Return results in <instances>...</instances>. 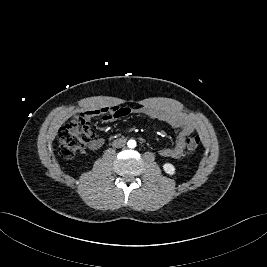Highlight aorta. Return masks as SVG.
<instances>
[{"instance_id": "aorta-1", "label": "aorta", "mask_w": 267, "mask_h": 267, "mask_svg": "<svg viewBox=\"0 0 267 267\" xmlns=\"http://www.w3.org/2000/svg\"><path fill=\"white\" fill-rule=\"evenodd\" d=\"M127 145L129 148H135L136 147V141L131 139L127 142Z\"/></svg>"}]
</instances>
